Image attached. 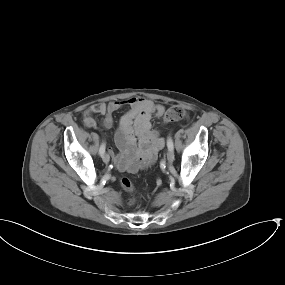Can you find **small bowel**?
Returning a JSON list of instances; mask_svg holds the SVG:
<instances>
[{
	"label": "small bowel",
	"instance_id": "c3829d8e",
	"mask_svg": "<svg viewBox=\"0 0 285 285\" xmlns=\"http://www.w3.org/2000/svg\"><path fill=\"white\" fill-rule=\"evenodd\" d=\"M123 108L127 111L122 116L115 141L121 154L114 156V164L120 171L135 173L140 169L150 168L156 161L164 141L152 128L153 115L161 116L159 105L154 101L133 97L124 101L95 103L87 108L84 125L95 126L93 115H101V124L111 128L115 124L114 114Z\"/></svg>",
	"mask_w": 285,
	"mask_h": 285
}]
</instances>
